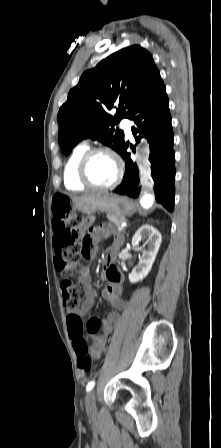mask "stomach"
<instances>
[{
    "label": "stomach",
    "instance_id": "stomach-1",
    "mask_svg": "<svg viewBox=\"0 0 221 448\" xmlns=\"http://www.w3.org/2000/svg\"><path fill=\"white\" fill-rule=\"evenodd\" d=\"M75 207L87 215L101 211L124 217L132 215L136 211V205L129 198L111 195L108 192L99 193L83 201H76Z\"/></svg>",
    "mask_w": 221,
    "mask_h": 448
}]
</instances>
